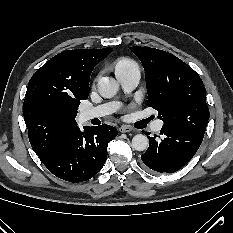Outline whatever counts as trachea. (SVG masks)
<instances>
[{
    "label": "trachea",
    "instance_id": "obj_1",
    "mask_svg": "<svg viewBox=\"0 0 233 233\" xmlns=\"http://www.w3.org/2000/svg\"><path fill=\"white\" fill-rule=\"evenodd\" d=\"M153 118L152 117H149L148 119H147V121H150V120H152Z\"/></svg>",
    "mask_w": 233,
    "mask_h": 233
}]
</instances>
